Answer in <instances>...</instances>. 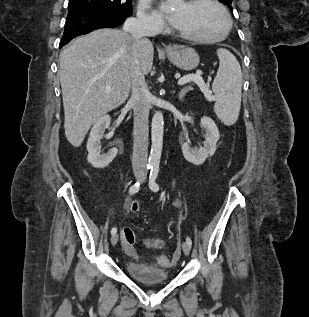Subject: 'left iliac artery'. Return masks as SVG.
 I'll list each match as a JSON object with an SVG mask.
<instances>
[{"instance_id":"1","label":"left iliac artery","mask_w":309,"mask_h":317,"mask_svg":"<svg viewBox=\"0 0 309 317\" xmlns=\"http://www.w3.org/2000/svg\"><path fill=\"white\" fill-rule=\"evenodd\" d=\"M159 173V165H154L151 168L150 177H149V187L152 191L157 192L159 190V186L156 183V178ZM186 242L191 246L192 240L190 237H186Z\"/></svg>"}]
</instances>
